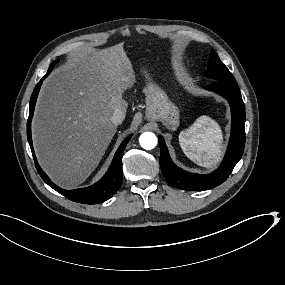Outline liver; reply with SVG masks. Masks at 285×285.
<instances>
[{"label": "liver", "mask_w": 285, "mask_h": 285, "mask_svg": "<svg viewBox=\"0 0 285 285\" xmlns=\"http://www.w3.org/2000/svg\"><path fill=\"white\" fill-rule=\"evenodd\" d=\"M134 82L122 43L101 50L78 47L43 81L32 121L33 145L55 183L71 189L95 170L117 131L114 112L126 113L122 93Z\"/></svg>", "instance_id": "1"}]
</instances>
